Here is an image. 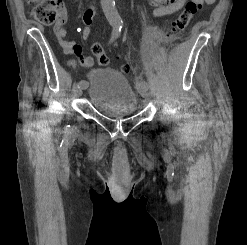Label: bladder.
Wrapping results in <instances>:
<instances>
[{
    "instance_id": "bladder-1",
    "label": "bladder",
    "mask_w": 247,
    "mask_h": 245,
    "mask_svg": "<svg viewBox=\"0 0 247 245\" xmlns=\"http://www.w3.org/2000/svg\"><path fill=\"white\" fill-rule=\"evenodd\" d=\"M88 97L100 113L110 117L128 116L138 110V96L118 70L97 67L88 73Z\"/></svg>"
}]
</instances>
